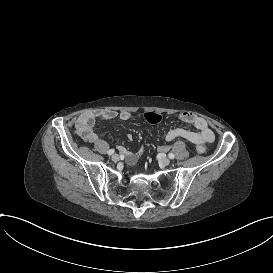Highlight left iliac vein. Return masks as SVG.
Segmentation results:
<instances>
[{"mask_svg":"<svg viewBox=\"0 0 273 273\" xmlns=\"http://www.w3.org/2000/svg\"><path fill=\"white\" fill-rule=\"evenodd\" d=\"M160 164L163 165V166H167V165L170 164V159H168V158H162L160 160Z\"/></svg>","mask_w":273,"mask_h":273,"instance_id":"left-iliac-vein-1","label":"left iliac vein"}]
</instances>
